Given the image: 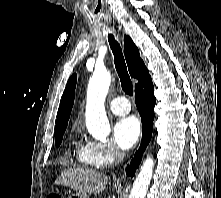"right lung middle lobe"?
<instances>
[{
	"instance_id": "right-lung-middle-lobe-1",
	"label": "right lung middle lobe",
	"mask_w": 221,
	"mask_h": 198,
	"mask_svg": "<svg viewBox=\"0 0 221 198\" xmlns=\"http://www.w3.org/2000/svg\"><path fill=\"white\" fill-rule=\"evenodd\" d=\"M65 130H66V128H63V129L55 132V145L57 147L61 144Z\"/></svg>"
}]
</instances>
